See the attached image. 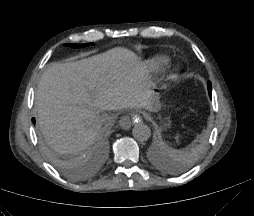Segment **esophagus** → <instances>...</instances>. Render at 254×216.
Returning <instances> with one entry per match:
<instances>
[{
    "instance_id": "obj_1",
    "label": "esophagus",
    "mask_w": 254,
    "mask_h": 216,
    "mask_svg": "<svg viewBox=\"0 0 254 216\" xmlns=\"http://www.w3.org/2000/svg\"><path fill=\"white\" fill-rule=\"evenodd\" d=\"M142 116L139 114H129L121 117L119 120V126L124 130H129L131 128L132 123L141 122Z\"/></svg>"
}]
</instances>
